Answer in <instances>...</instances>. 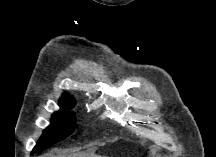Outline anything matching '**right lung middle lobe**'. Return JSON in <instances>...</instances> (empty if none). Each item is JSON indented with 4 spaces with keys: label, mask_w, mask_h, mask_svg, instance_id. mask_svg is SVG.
<instances>
[{
    "label": "right lung middle lobe",
    "mask_w": 216,
    "mask_h": 157,
    "mask_svg": "<svg viewBox=\"0 0 216 157\" xmlns=\"http://www.w3.org/2000/svg\"><path fill=\"white\" fill-rule=\"evenodd\" d=\"M59 104L62 110L52 115L50 126L43 131V135L34 147L32 154L41 152L73 133L76 121L70 110L74 107L75 101L71 97H65L60 99Z\"/></svg>",
    "instance_id": "dd1d6c3e"
}]
</instances>
